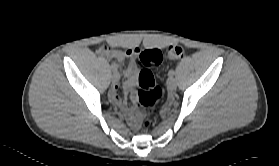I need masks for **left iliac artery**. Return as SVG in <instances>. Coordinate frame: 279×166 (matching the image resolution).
<instances>
[{
  "label": "left iliac artery",
  "mask_w": 279,
  "mask_h": 166,
  "mask_svg": "<svg viewBox=\"0 0 279 166\" xmlns=\"http://www.w3.org/2000/svg\"><path fill=\"white\" fill-rule=\"evenodd\" d=\"M174 73H175L174 70L171 69V70L168 72V75H169L170 77H172V76L174 75Z\"/></svg>",
  "instance_id": "obj_1"
}]
</instances>
